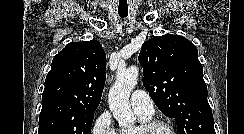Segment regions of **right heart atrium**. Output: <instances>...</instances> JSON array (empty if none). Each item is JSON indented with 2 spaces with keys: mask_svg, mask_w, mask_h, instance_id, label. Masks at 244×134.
Returning <instances> with one entry per match:
<instances>
[{
  "mask_svg": "<svg viewBox=\"0 0 244 134\" xmlns=\"http://www.w3.org/2000/svg\"><path fill=\"white\" fill-rule=\"evenodd\" d=\"M91 134H118L110 112L104 111L95 119Z\"/></svg>",
  "mask_w": 244,
  "mask_h": 134,
  "instance_id": "right-heart-atrium-1",
  "label": "right heart atrium"
}]
</instances>
